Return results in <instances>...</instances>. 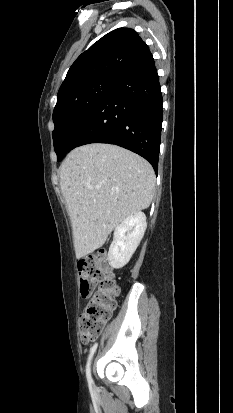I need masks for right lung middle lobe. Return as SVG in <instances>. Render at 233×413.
<instances>
[{"instance_id":"obj_1","label":"right lung middle lobe","mask_w":233,"mask_h":413,"mask_svg":"<svg viewBox=\"0 0 233 413\" xmlns=\"http://www.w3.org/2000/svg\"><path fill=\"white\" fill-rule=\"evenodd\" d=\"M116 77H100L57 99L52 133L57 161H61L76 136L106 95Z\"/></svg>"}]
</instances>
